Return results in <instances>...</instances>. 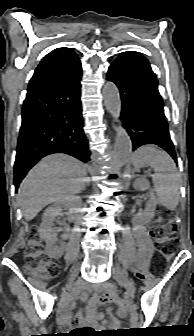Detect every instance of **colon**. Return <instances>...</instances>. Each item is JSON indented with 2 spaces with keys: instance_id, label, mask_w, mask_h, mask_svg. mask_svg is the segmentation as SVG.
<instances>
[{
  "instance_id": "obj_1",
  "label": "colon",
  "mask_w": 194,
  "mask_h": 336,
  "mask_svg": "<svg viewBox=\"0 0 194 336\" xmlns=\"http://www.w3.org/2000/svg\"><path fill=\"white\" fill-rule=\"evenodd\" d=\"M177 225L172 216L171 211L161 210L156 224L151 229V234L158 244V254L154 257V263L159 262L175 254ZM24 268L33 272L42 279L57 277L61 267L56 261L50 260L45 254L43 244L36 230H31L28 234L27 248L24 254ZM145 281H149L150 277L141 275ZM118 307L125 310L128 304L118 301ZM105 334L113 335L114 330H108Z\"/></svg>"
}]
</instances>
